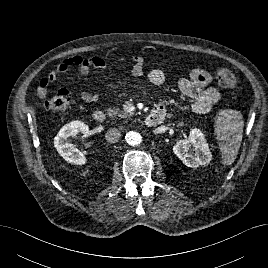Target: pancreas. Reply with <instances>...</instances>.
Instances as JSON below:
<instances>
[{
    "instance_id": "obj_1",
    "label": "pancreas",
    "mask_w": 268,
    "mask_h": 268,
    "mask_svg": "<svg viewBox=\"0 0 268 268\" xmlns=\"http://www.w3.org/2000/svg\"><path fill=\"white\" fill-rule=\"evenodd\" d=\"M107 114L110 117H120V118H127L130 114L125 112V111H120L118 108H108L107 109Z\"/></svg>"
}]
</instances>
